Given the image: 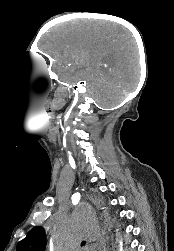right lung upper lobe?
I'll return each mask as SVG.
<instances>
[{
    "mask_svg": "<svg viewBox=\"0 0 174 251\" xmlns=\"http://www.w3.org/2000/svg\"><path fill=\"white\" fill-rule=\"evenodd\" d=\"M45 245L46 237L44 229L41 226H37L31 229L27 233V236L17 244L16 251H44Z\"/></svg>",
    "mask_w": 174,
    "mask_h": 251,
    "instance_id": "1",
    "label": "right lung upper lobe"
}]
</instances>
